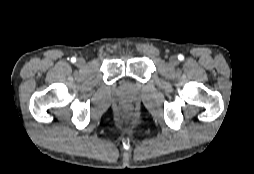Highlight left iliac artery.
<instances>
[{
    "label": "left iliac artery",
    "instance_id": "obj_1",
    "mask_svg": "<svg viewBox=\"0 0 254 174\" xmlns=\"http://www.w3.org/2000/svg\"><path fill=\"white\" fill-rule=\"evenodd\" d=\"M178 59H179V60H183V59H184L183 55H181V54L178 55Z\"/></svg>",
    "mask_w": 254,
    "mask_h": 174
}]
</instances>
